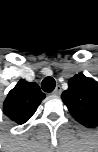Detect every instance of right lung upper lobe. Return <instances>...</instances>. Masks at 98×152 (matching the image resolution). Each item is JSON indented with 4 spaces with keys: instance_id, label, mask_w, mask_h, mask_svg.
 <instances>
[{
    "instance_id": "obj_1",
    "label": "right lung upper lobe",
    "mask_w": 98,
    "mask_h": 152,
    "mask_svg": "<svg viewBox=\"0 0 98 152\" xmlns=\"http://www.w3.org/2000/svg\"><path fill=\"white\" fill-rule=\"evenodd\" d=\"M45 94L38 84L20 80L8 93L3 103V113L17 124L27 122L37 110Z\"/></svg>"
}]
</instances>
